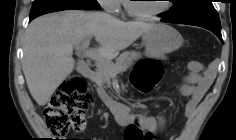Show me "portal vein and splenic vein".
Segmentation results:
<instances>
[{
	"label": "portal vein and splenic vein",
	"instance_id": "1",
	"mask_svg": "<svg viewBox=\"0 0 236 140\" xmlns=\"http://www.w3.org/2000/svg\"><path fill=\"white\" fill-rule=\"evenodd\" d=\"M76 48L82 52V54L90 58L92 60H95L97 62H105L108 61L105 57H103L98 51L96 50H90L89 49V39L85 40L82 46L77 45ZM115 73L114 75H116Z\"/></svg>",
	"mask_w": 236,
	"mask_h": 140
}]
</instances>
